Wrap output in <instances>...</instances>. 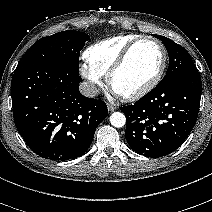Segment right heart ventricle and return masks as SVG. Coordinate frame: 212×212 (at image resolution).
<instances>
[{
    "instance_id": "e07e8e85",
    "label": "right heart ventricle",
    "mask_w": 212,
    "mask_h": 212,
    "mask_svg": "<svg viewBox=\"0 0 212 212\" xmlns=\"http://www.w3.org/2000/svg\"><path fill=\"white\" fill-rule=\"evenodd\" d=\"M139 35L123 34L89 46L84 52L86 62L102 75H106L123 50Z\"/></svg>"
}]
</instances>
